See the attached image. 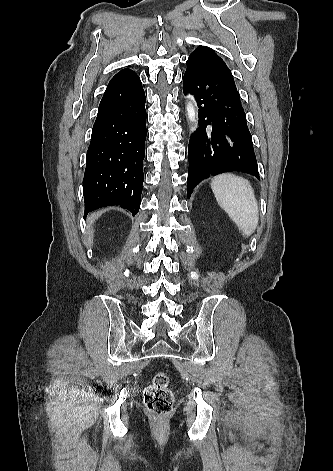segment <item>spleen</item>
I'll return each mask as SVG.
<instances>
[{
	"instance_id": "spleen-1",
	"label": "spleen",
	"mask_w": 333,
	"mask_h": 471,
	"mask_svg": "<svg viewBox=\"0 0 333 471\" xmlns=\"http://www.w3.org/2000/svg\"><path fill=\"white\" fill-rule=\"evenodd\" d=\"M211 188L219 206L245 237L253 234L259 222L258 204L250 182L231 173L214 177Z\"/></svg>"
}]
</instances>
